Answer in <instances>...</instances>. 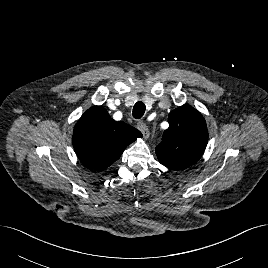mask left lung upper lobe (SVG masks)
Masks as SVG:
<instances>
[{"label":"left lung upper lobe","instance_id":"obj_1","mask_svg":"<svg viewBox=\"0 0 268 268\" xmlns=\"http://www.w3.org/2000/svg\"><path fill=\"white\" fill-rule=\"evenodd\" d=\"M169 128L156 147L159 162L171 170L187 169L202 156L208 131L205 119L196 109L185 104L169 113Z\"/></svg>","mask_w":268,"mask_h":268}]
</instances>
